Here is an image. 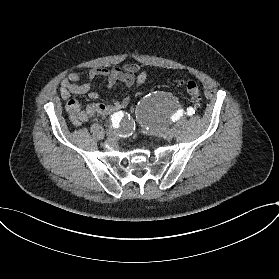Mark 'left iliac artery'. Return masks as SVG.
<instances>
[{
	"mask_svg": "<svg viewBox=\"0 0 279 279\" xmlns=\"http://www.w3.org/2000/svg\"><path fill=\"white\" fill-rule=\"evenodd\" d=\"M195 113V110L192 108V107H189L187 108V115L191 116ZM180 115L182 116V113H176L174 116H173V120H177L179 119L178 116L180 117Z\"/></svg>",
	"mask_w": 279,
	"mask_h": 279,
	"instance_id": "left-iliac-artery-1",
	"label": "left iliac artery"
}]
</instances>
